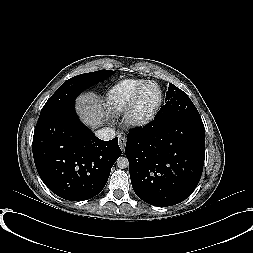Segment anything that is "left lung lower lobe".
Segmentation results:
<instances>
[{"mask_svg":"<svg viewBox=\"0 0 253 253\" xmlns=\"http://www.w3.org/2000/svg\"><path fill=\"white\" fill-rule=\"evenodd\" d=\"M125 154L132 187L140 199L160 207L178 204L194 191L202 175V119L170 116L131 129Z\"/></svg>","mask_w":253,"mask_h":253,"instance_id":"1","label":"left lung lower lobe"}]
</instances>
